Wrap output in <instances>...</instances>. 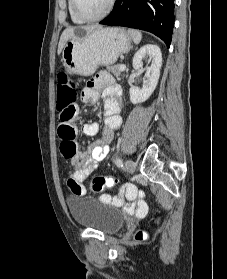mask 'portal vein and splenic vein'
Wrapping results in <instances>:
<instances>
[{
	"instance_id": "portal-vein-and-splenic-vein-1",
	"label": "portal vein and splenic vein",
	"mask_w": 227,
	"mask_h": 279,
	"mask_svg": "<svg viewBox=\"0 0 227 279\" xmlns=\"http://www.w3.org/2000/svg\"><path fill=\"white\" fill-rule=\"evenodd\" d=\"M126 69V65L125 64H121L120 66H119V70L120 71H124Z\"/></svg>"
}]
</instances>
